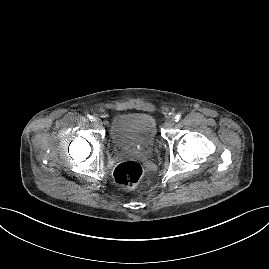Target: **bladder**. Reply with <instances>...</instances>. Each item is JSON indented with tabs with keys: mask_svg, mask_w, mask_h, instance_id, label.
I'll return each instance as SVG.
<instances>
[{
	"mask_svg": "<svg viewBox=\"0 0 269 269\" xmlns=\"http://www.w3.org/2000/svg\"><path fill=\"white\" fill-rule=\"evenodd\" d=\"M109 137L113 146L120 150H145L157 140L155 119L146 113H122L111 122Z\"/></svg>",
	"mask_w": 269,
	"mask_h": 269,
	"instance_id": "obj_1",
	"label": "bladder"
}]
</instances>
